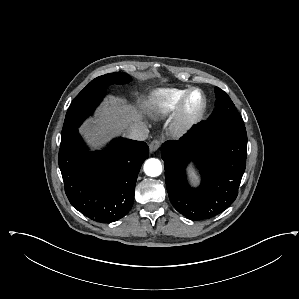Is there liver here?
<instances>
[{
  "instance_id": "obj_1",
  "label": "liver",
  "mask_w": 299,
  "mask_h": 299,
  "mask_svg": "<svg viewBox=\"0 0 299 299\" xmlns=\"http://www.w3.org/2000/svg\"><path fill=\"white\" fill-rule=\"evenodd\" d=\"M142 110H148L149 104L143 102ZM98 127L95 131L102 140L107 139L113 133L128 134L129 128L134 124L142 123V113L134 106L128 105L120 98L109 96L103 103L98 113Z\"/></svg>"
}]
</instances>
